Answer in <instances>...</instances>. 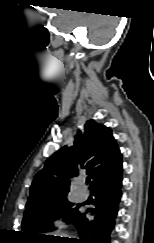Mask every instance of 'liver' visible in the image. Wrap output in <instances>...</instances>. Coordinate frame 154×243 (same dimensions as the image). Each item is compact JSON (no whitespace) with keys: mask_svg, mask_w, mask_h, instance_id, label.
Here are the masks:
<instances>
[{"mask_svg":"<svg viewBox=\"0 0 154 243\" xmlns=\"http://www.w3.org/2000/svg\"><path fill=\"white\" fill-rule=\"evenodd\" d=\"M64 233H55L54 236L66 237Z\"/></svg>","mask_w":154,"mask_h":243,"instance_id":"1","label":"liver"}]
</instances>
